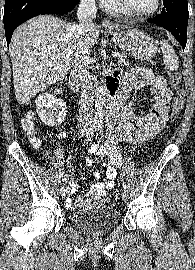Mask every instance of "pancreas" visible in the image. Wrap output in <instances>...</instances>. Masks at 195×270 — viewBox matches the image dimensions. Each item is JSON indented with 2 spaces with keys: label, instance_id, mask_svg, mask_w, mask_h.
I'll return each mask as SVG.
<instances>
[{
  "label": "pancreas",
  "instance_id": "pancreas-1",
  "mask_svg": "<svg viewBox=\"0 0 195 270\" xmlns=\"http://www.w3.org/2000/svg\"><path fill=\"white\" fill-rule=\"evenodd\" d=\"M118 64L122 66L128 65L127 55L125 53L119 54Z\"/></svg>",
  "mask_w": 195,
  "mask_h": 270
}]
</instances>
